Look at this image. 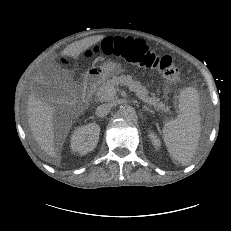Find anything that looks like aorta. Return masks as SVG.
<instances>
[{
  "label": "aorta",
  "mask_w": 231,
  "mask_h": 231,
  "mask_svg": "<svg viewBox=\"0 0 231 231\" xmlns=\"http://www.w3.org/2000/svg\"><path fill=\"white\" fill-rule=\"evenodd\" d=\"M121 115L124 119H133L136 115V111L132 106H124L121 110Z\"/></svg>",
  "instance_id": "1"
}]
</instances>
